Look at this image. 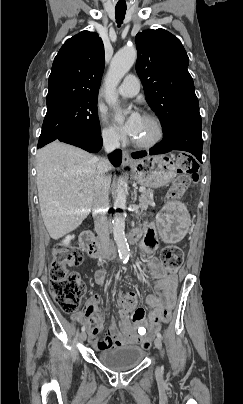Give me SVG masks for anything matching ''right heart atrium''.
Wrapping results in <instances>:
<instances>
[{
  "label": "right heart atrium",
  "mask_w": 243,
  "mask_h": 404,
  "mask_svg": "<svg viewBox=\"0 0 243 404\" xmlns=\"http://www.w3.org/2000/svg\"><path fill=\"white\" fill-rule=\"evenodd\" d=\"M98 120L100 124V134L103 143L113 148H120L121 146H123L125 143L124 138L116 130L106 126L103 113H99Z\"/></svg>",
  "instance_id": "1"
}]
</instances>
